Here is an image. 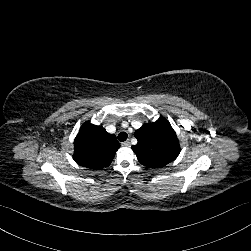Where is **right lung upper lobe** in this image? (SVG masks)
<instances>
[{
	"mask_svg": "<svg viewBox=\"0 0 251 251\" xmlns=\"http://www.w3.org/2000/svg\"><path fill=\"white\" fill-rule=\"evenodd\" d=\"M119 147L115 135L102 126L85 122L74 141L73 159L83 167L100 170L111 164Z\"/></svg>",
	"mask_w": 251,
	"mask_h": 251,
	"instance_id": "cb5924a9",
	"label": "right lung upper lobe"
}]
</instances>
